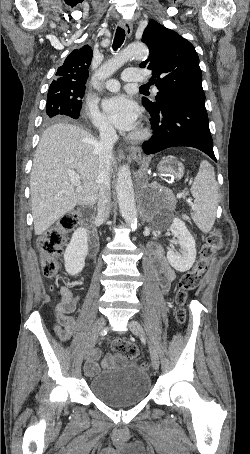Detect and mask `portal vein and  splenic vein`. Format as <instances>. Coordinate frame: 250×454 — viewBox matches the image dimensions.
<instances>
[{"label":"portal vein and splenic vein","mask_w":250,"mask_h":454,"mask_svg":"<svg viewBox=\"0 0 250 454\" xmlns=\"http://www.w3.org/2000/svg\"><path fill=\"white\" fill-rule=\"evenodd\" d=\"M71 181L72 183L76 186V190L77 191H82L83 190V187L81 185V182H80V177L78 175H71ZM184 196L182 194H178L177 195V198H183Z\"/></svg>","instance_id":"1"}]
</instances>
